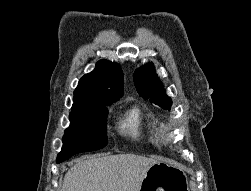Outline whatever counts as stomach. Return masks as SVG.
I'll return each instance as SVG.
<instances>
[{"mask_svg":"<svg viewBox=\"0 0 251 191\" xmlns=\"http://www.w3.org/2000/svg\"><path fill=\"white\" fill-rule=\"evenodd\" d=\"M187 175L183 169L157 161L148 169L140 191H188Z\"/></svg>","mask_w":251,"mask_h":191,"instance_id":"1","label":"stomach"}]
</instances>
